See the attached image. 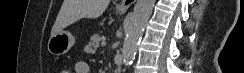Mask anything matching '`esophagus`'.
<instances>
[{"label":"esophagus","instance_id":"1","mask_svg":"<svg viewBox=\"0 0 244 73\" xmlns=\"http://www.w3.org/2000/svg\"><path fill=\"white\" fill-rule=\"evenodd\" d=\"M136 0H123L120 5L119 9L120 10H127L132 4L135 3Z\"/></svg>","mask_w":244,"mask_h":73}]
</instances>
